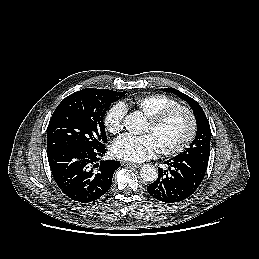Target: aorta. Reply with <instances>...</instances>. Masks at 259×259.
<instances>
[{"mask_svg": "<svg viewBox=\"0 0 259 259\" xmlns=\"http://www.w3.org/2000/svg\"><path fill=\"white\" fill-rule=\"evenodd\" d=\"M146 125L145 117L141 112H131L125 117L124 126L127 131L134 135L144 132ZM140 176L146 182H153L158 177V171L154 165L147 164L140 169Z\"/></svg>", "mask_w": 259, "mask_h": 259, "instance_id": "aorta-1", "label": "aorta"}]
</instances>
